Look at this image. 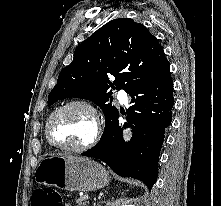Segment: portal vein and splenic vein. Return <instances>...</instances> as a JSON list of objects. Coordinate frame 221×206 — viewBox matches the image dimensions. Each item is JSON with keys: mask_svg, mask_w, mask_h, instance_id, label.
<instances>
[{"mask_svg": "<svg viewBox=\"0 0 221 206\" xmlns=\"http://www.w3.org/2000/svg\"><path fill=\"white\" fill-rule=\"evenodd\" d=\"M84 199L88 200V199H89V197H88V196H84Z\"/></svg>", "mask_w": 221, "mask_h": 206, "instance_id": "portal-vein-and-splenic-vein-1", "label": "portal vein and splenic vein"}]
</instances>
